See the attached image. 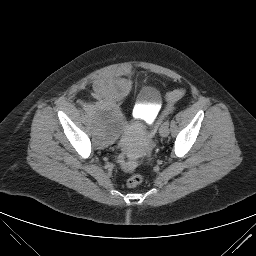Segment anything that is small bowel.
<instances>
[{"mask_svg": "<svg viewBox=\"0 0 256 256\" xmlns=\"http://www.w3.org/2000/svg\"><path fill=\"white\" fill-rule=\"evenodd\" d=\"M102 83H103L102 81H98V82L96 83L97 88H101Z\"/></svg>", "mask_w": 256, "mask_h": 256, "instance_id": "c3829d8e", "label": "small bowel"}]
</instances>
